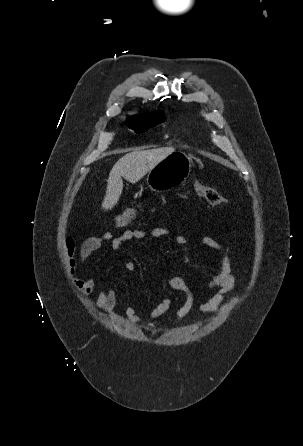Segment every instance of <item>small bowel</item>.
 I'll use <instances>...</instances> for the list:
<instances>
[{"instance_id":"small-bowel-1","label":"small bowel","mask_w":303,"mask_h":446,"mask_svg":"<svg viewBox=\"0 0 303 446\" xmlns=\"http://www.w3.org/2000/svg\"><path fill=\"white\" fill-rule=\"evenodd\" d=\"M171 231L167 227H155L152 229H128L121 235L114 236L110 232H106L101 236L90 237L86 239L80 246V259L83 263H87L91 255L98 251L104 242H110L113 250H119L123 244L132 240L142 239H162L169 237ZM173 242L176 246L182 247L188 243V239L184 235H176L173 237ZM202 243L217 253L218 255V273L210 281L203 284L204 288L208 290L218 289L211 299L203 303L199 307V311L203 314L218 313L231 304L232 301L226 302L225 296L229 293L235 284V278L232 274L231 262L229 256V248L222 246L215 239L209 236L202 238ZM65 252L67 256V269L70 274L74 286L84 294H90L95 289V280L90 277L87 279H80L75 276L77 260L74 257L75 242L71 237L65 239ZM125 269L129 272L135 270V263L132 260H127L124 263ZM187 275L179 274L164 280L165 288L175 291H180L184 294L185 300L181 307L176 311L175 318L178 322H182L186 315L193 307L194 295L191 288L186 282ZM116 293L112 288H105L100 291L96 300V307L105 312L109 317L115 321L120 320V316L115 311ZM171 300L165 296L163 300L156 305L146 317L139 315L133 305L125 308L124 317L133 324L148 322L156 319L166 313L170 308ZM150 327L153 324L148 322Z\"/></svg>"}]
</instances>
